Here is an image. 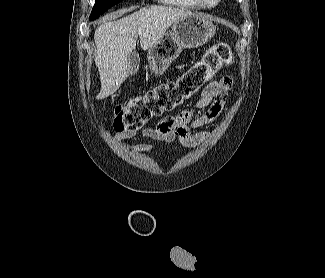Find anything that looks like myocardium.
I'll return each instance as SVG.
<instances>
[{
    "label": "myocardium",
    "mask_w": 325,
    "mask_h": 278,
    "mask_svg": "<svg viewBox=\"0 0 325 278\" xmlns=\"http://www.w3.org/2000/svg\"><path fill=\"white\" fill-rule=\"evenodd\" d=\"M206 7H214L220 3V0H201Z\"/></svg>",
    "instance_id": "myocardium-1"
}]
</instances>
